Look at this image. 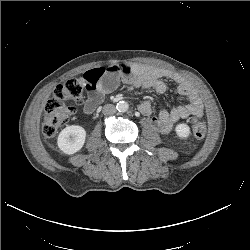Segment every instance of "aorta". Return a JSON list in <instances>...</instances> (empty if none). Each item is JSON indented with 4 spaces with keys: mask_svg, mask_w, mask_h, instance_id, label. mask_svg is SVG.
Wrapping results in <instances>:
<instances>
[{
    "mask_svg": "<svg viewBox=\"0 0 250 250\" xmlns=\"http://www.w3.org/2000/svg\"><path fill=\"white\" fill-rule=\"evenodd\" d=\"M116 108L119 112H126L129 109V105L125 101H120L117 103Z\"/></svg>",
    "mask_w": 250,
    "mask_h": 250,
    "instance_id": "762f6f07",
    "label": "aorta"
}]
</instances>
